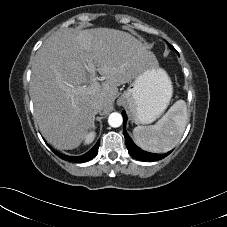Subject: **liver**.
Masks as SVG:
<instances>
[{
	"label": "liver",
	"mask_w": 227,
	"mask_h": 227,
	"mask_svg": "<svg viewBox=\"0 0 227 227\" xmlns=\"http://www.w3.org/2000/svg\"><path fill=\"white\" fill-rule=\"evenodd\" d=\"M151 65H158L155 55L127 32H55L36 52L31 69L30 96L43 137L57 149L77 148L93 128L92 104L102 100L101 111H109L118 86ZM96 72L104 82H97Z\"/></svg>",
	"instance_id": "obj_1"
}]
</instances>
